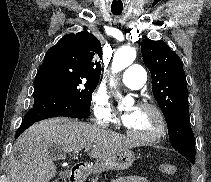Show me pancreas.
Returning <instances> with one entry per match:
<instances>
[{
    "mask_svg": "<svg viewBox=\"0 0 211 182\" xmlns=\"http://www.w3.org/2000/svg\"><path fill=\"white\" fill-rule=\"evenodd\" d=\"M97 180H98V177H95L91 179V182H97Z\"/></svg>",
    "mask_w": 211,
    "mask_h": 182,
    "instance_id": "1",
    "label": "pancreas"
}]
</instances>
